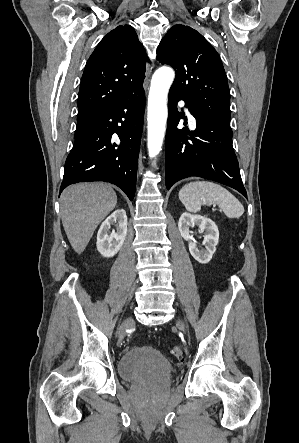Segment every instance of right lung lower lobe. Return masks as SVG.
I'll list each match as a JSON object with an SVG mask.
<instances>
[{
	"label": "right lung lower lobe",
	"instance_id": "right-lung-lower-lobe-1",
	"mask_svg": "<svg viewBox=\"0 0 299 443\" xmlns=\"http://www.w3.org/2000/svg\"><path fill=\"white\" fill-rule=\"evenodd\" d=\"M144 106L141 88L89 120L65 162L61 191L78 182L105 181L133 200Z\"/></svg>",
	"mask_w": 299,
	"mask_h": 443
}]
</instances>
